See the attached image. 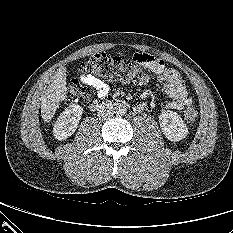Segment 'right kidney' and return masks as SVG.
<instances>
[{
    "instance_id": "right-kidney-1",
    "label": "right kidney",
    "mask_w": 233,
    "mask_h": 233,
    "mask_svg": "<svg viewBox=\"0 0 233 233\" xmlns=\"http://www.w3.org/2000/svg\"><path fill=\"white\" fill-rule=\"evenodd\" d=\"M83 108L78 104L67 107L55 122L53 134L56 139L64 140L70 137L78 127Z\"/></svg>"
}]
</instances>
